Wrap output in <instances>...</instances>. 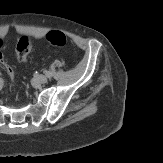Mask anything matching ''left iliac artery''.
Wrapping results in <instances>:
<instances>
[{
    "instance_id": "left-iliac-artery-1",
    "label": "left iliac artery",
    "mask_w": 163,
    "mask_h": 163,
    "mask_svg": "<svg viewBox=\"0 0 163 163\" xmlns=\"http://www.w3.org/2000/svg\"><path fill=\"white\" fill-rule=\"evenodd\" d=\"M45 74L48 78H51L52 77V73L50 71H45Z\"/></svg>"
}]
</instances>
